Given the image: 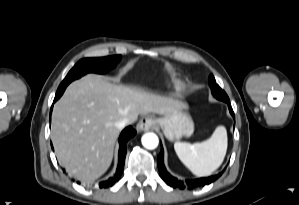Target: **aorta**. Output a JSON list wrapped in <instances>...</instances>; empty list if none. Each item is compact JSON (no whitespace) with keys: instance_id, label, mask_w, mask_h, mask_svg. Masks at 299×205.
I'll return each mask as SVG.
<instances>
[{"instance_id":"aorta-1","label":"aorta","mask_w":299,"mask_h":205,"mask_svg":"<svg viewBox=\"0 0 299 205\" xmlns=\"http://www.w3.org/2000/svg\"><path fill=\"white\" fill-rule=\"evenodd\" d=\"M142 145L147 149H155L158 146L159 139L154 133H146L142 136Z\"/></svg>"}]
</instances>
